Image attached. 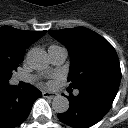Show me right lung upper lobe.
<instances>
[{
	"label": "right lung upper lobe",
	"instance_id": "obj_1",
	"mask_svg": "<svg viewBox=\"0 0 128 128\" xmlns=\"http://www.w3.org/2000/svg\"><path fill=\"white\" fill-rule=\"evenodd\" d=\"M45 33L46 31L31 32L10 26L0 27V59L20 64L25 50Z\"/></svg>",
	"mask_w": 128,
	"mask_h": 128
}]
</instances>
